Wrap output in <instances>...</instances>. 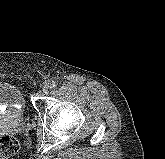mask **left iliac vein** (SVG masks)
Instances as JSON below:
<instances>
[{
    "label": "left iliac vein",
    "mask_w": 165,
    "mask_h": 159,
    "mask_svg": "<svg viewBox=\"0 0 165 159\" xmlns=\"http://www.w3.org/2000/svg\"><path fill=\"white\" fill-rule=\"evenodd\" d=\"M51 88L50 84L46 83L44 84L42 91L44 94H47L49 92V89Z\"/></svg>",
    "instance_id": "left-iliac-vein-1"
}]
</instances>
